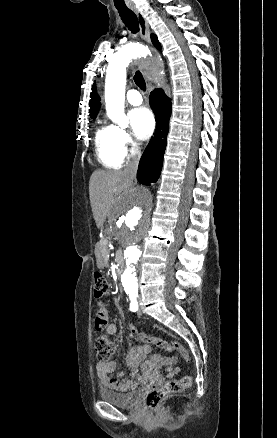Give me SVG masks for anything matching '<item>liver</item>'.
Listing matches in <instances>:
<instances>
[{
	"mask_svg": "<svg viewBox=\"0 0 277 438\" xmlns=\"http://www.w3.org/2000/svg\"><path fill=\"white\" fill-rule=\"evenodd\" d=\"M130 180L120 170H96L90 182V202L97 228H102L112 205H118L120 188H129ZM115 194V196H114Z\"/></svg>",
	"mask_w": 277,
	"mask_h": 438,
	"instance_id": "liver-1",
	"label": "liver"
}]
</instances>
